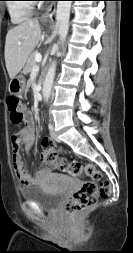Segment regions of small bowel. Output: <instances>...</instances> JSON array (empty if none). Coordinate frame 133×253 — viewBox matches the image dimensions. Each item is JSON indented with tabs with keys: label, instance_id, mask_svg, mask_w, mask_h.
Segmentation results:
<instances>
[{
	"label": "small bowel",
	"instance_id": "small-bowel-1",
	"mask_svg": "<svg viewBox=\"0 0 133 253\" xmlns=\"http://www.w3.org/2000/svg\"><path fill=\"white\" fill-rule=\"evenodd\" d=\"M35 127L34 121L30 113L26 115L25 126L16 132L11 138L13 165L18 181L22 185H33L38 183L43 176L52 170V166L45 160V151L41 155L42 165L39 170L31 175L28 173L24 164L21 149L24 148L26 152L32 148L35 142Z\"/></svg>",
	"mask_w": 133,
	"mask_h": 253
}]
</instances>
